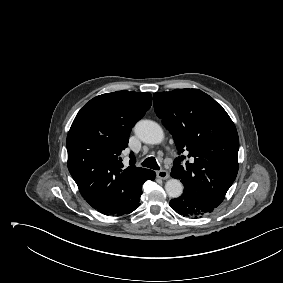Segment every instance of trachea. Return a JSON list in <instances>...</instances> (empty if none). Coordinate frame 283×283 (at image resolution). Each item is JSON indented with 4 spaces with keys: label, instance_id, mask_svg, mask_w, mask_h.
<instances>
[{
    "label": "trachea",
    "instance_id": "3493384b",
    "mask_svg": "<svg viewBox=\"0 0 283 283\" xmlns=\"http://www.w3.org/2000/svg\"><path fill=\"white\" fill-rule=\"evenodd\" d=\"M141 165L143 167H147V168H151V169H154V170H159L160 167L155 159V157H148L146 158L142 163Z\"/></svg>",
    "mask_w": 283,
    "mask_h": 283
}]
</instances>
